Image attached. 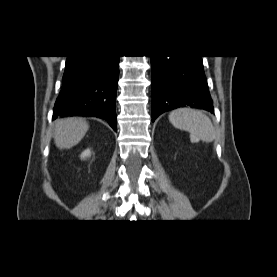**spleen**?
<instances>
[{
    "mask_svg": "<svg viewBox=\"0 0 277 277\" xmlns=\"http://www.w3.org/2000/svg\"><path fill=\"white\" fill-rule=\"evenodd\" d=\"M171 124L181 130L188 131L192 141L212 142L215 129L208 116L199 110L180 108L169 114Z\"/></svg>",
    "mask_w": 277,
    "mask_h": 277,
    "instance_id": "3e777b00",
    "label": "spleen"
}]
</instances>
